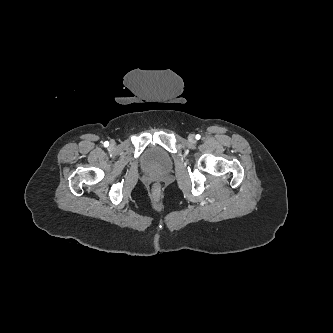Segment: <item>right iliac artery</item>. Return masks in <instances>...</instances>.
<instances>
[{
	"mask_svg": "<svg viewBox=\"0 0 333 333\" xmlns=\"http://www.w3.org/2000/svg\"><path fill=\"white\" fill-rule=\"evenodd\" d=\"M108 145H109V142H108V141L104 142V146H105V147H108Z\"/></svg>",
	"mask_w": 333,
	"mask_h": 333,
	"instance_id": "right-iliac-artery-1",
	"label": "right iliac artery"
}]
</instances>
